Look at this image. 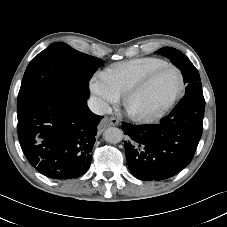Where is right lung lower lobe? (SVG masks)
I'll list each match as a JSON object with an SVG mask.
<instances>
[{
	"label": "right lung lower lobe",
	"instance_id": "1",
	"mask_svg": "<svg viewBox=\"0 0 227 227\" xmlns=\"http://www.w3.org/2000/svg\"><path fill=\"white\" fill-rule=\"evenodd\" d=\"M87 99L45 92L17 106L18 137L29 163L54 179L83 175L89 168L97 125Z\"/></svg>",
	"mask_w": 227,
	"mask_h": 227
}]
</instances>
